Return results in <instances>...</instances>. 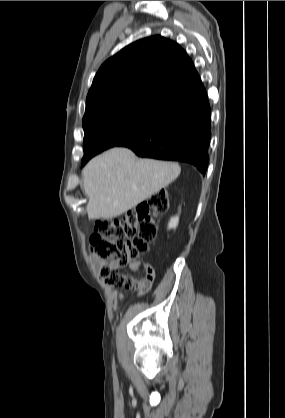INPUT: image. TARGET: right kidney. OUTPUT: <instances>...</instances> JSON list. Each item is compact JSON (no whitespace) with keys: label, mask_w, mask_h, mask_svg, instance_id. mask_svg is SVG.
<instances>
[{"label":"right kidney","mask_w":285,"mask_h":418,"mask_svg":"<svg viewBox=\"0 0 285 418\" xmlns=\"http://www.w3.org/2000/svg\"><path fill=\"white\" fill-rule=\"evenodd\" d=\"M179 223V216H174L170 219L169 223H168V229H176V227L178 226Z\"/></svg>","instance_id":"right-kidney-1"}]
</instances>
